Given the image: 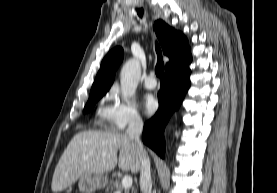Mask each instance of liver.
Segmentation results:
<instances>
[{
	"mask_svg": "<svg viewBox=\"0 0 277 193\" xmlns=\"http://www.w3.org/2000/svg\"><path fill=\"white\" fill-rule=\"evenodd\" d=\"M103 154L106 156L103 157ZM117 162L119 168L125 171L137 173L140 169V152L128 135L103 131L79 132L72 138L55 168L51 189L61 192L81 177L103 175L113 170Z\"/></svg>",
	"mask_w": 277,
	"mask_h": 193,
	"instance_id": "obj_1",
	"label": "liver"
}]
</instances>
